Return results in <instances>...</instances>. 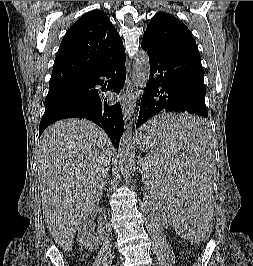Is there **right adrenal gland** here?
<instances>
[{
  "instance_id": "2a0ac1e0",
  "label": "right adrenal gland",
  "mask_w": 253,
  "mask_h": 266,
  "mask_svg": "<svg viewBox=\"0 0 253 266\" xmlns=\"http://www.w3.org/2000/svg\"><path fill=\"white\" fill-rule=\"evenodd\" d=\"M108 180H109V176L107 175V176H106L105 183H104V186H106ZM104 189H105V188H104Z\"/></svg>"
}]
</instances>
